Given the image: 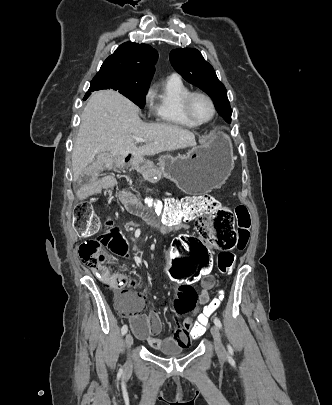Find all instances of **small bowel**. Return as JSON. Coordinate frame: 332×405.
<instances>
[{
  "instance_id": "c3829d8e",
  "label": "small bowel",
  "mask_w": 332,
  "mask_h": 405,
  "mask_svg": "<svg viewBox=\"0 0 332 405\" xmlns=\"http://www.w3.org/2000/svg\"><path fill=\"white\" fill-rule=\"evenodd\" d=\"M133 165L141 172L154 168L153 162L147 160L143 156H137L134 158ZM102 179V172H95L93 168H86L84 172H80V177H77L75 182L77 186H98L99 181H102ZM104 183L106 187H112L115 184V179L112 176H106L104 178ZM119 200L129 213L142 218L147 224L154 226L158 231L162 232V227H160L155 213L146 206V201H141L140 197L126 189H123L120 192ZM192 219H194V216H190L182 221V227L189 229V222ZM174 242L170 251V256H175L176 249L174 247ZM138 253V251L133 252L134 262L146 266V260L139 256ZM100 275L105 279L103 273H100ZM117 278L122 287L125 285H137L136 280L127 274H119ZM196 284L200 287L198 294L196 293L195 287H180L178 297L173 303L174 311L197 315L202 306L212 307V303L208 304V302L209 292L215 284L214 276L212 274L207 275L206 281L196 282ZM128 293L133 296V300L121 303L116 301V307L121 314L128 316L131 322L132 331L138 338L146 340L150 347L155 350L163 351V353H180L181 348L189 346V334L196 321L187 317L184 320L183 325H180L175 329L172 336L165 339H159L156 337L162 330V321L159 314L155 310H151L148 314L142 313V309L144 308V297L129 291Z\"/></svg>"
}]
</instances>
